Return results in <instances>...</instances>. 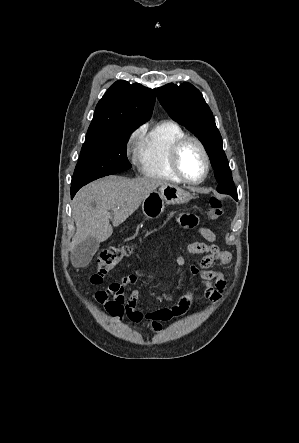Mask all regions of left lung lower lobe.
I'll list each match as a JSON object with an SVG mask.
<instances>
[{"label":"left lung lower lobe","instance_id":"0a47b994","mask_svg":"<svg viewBox=\"0 0 299 443\" xmlns=\"http://www.w3.org/2000/svg\"><path fill=\"white\" fill-rule=\"evenodd\" d=\"M232 197H233L235 200H238L237 194H233Z\"/></svg>","mask_w":299,"mask_h":443}]
</instances>
